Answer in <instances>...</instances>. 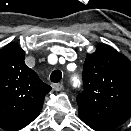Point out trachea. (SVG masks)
I'll return each mask as SVG.
<instances>
[{
	"label": "trachea",
	"mask_w": 131,
	"mask_h": 131,
	"mask_svg": "<svg viewBox=\"0 0 131 131\" xmlns=\"http://www.w3.org/2000/svg\"><path fill=\"white\" fill-rule=\"evenodd\" d=\"M62 78V72L60 70H55L51 73L50 79L52 82L57 83Z\"/></svg>",
	"instance_id": "trachea-1"
}]
</instances>
